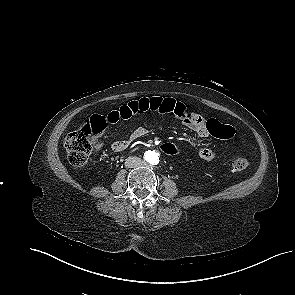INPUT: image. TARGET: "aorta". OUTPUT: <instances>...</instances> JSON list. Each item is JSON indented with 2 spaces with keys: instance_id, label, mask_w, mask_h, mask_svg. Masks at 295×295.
<instances>
[{
  "instance_id": "1",
  "label": "aorta",
  "mask_w": 295,
  "mask_h": 295,
  "mask_svg": "<svg viewBox=\"0 0 295 295\" xmlns=\"http://www.w3.org/2000/svg\"><path fill=\"white\" fill-rule=\"evenodd\" d=\"M144 159L151 165H156L159 163V153L155 150H148L144 153Z\"/></svg>"
}]
</instances>
